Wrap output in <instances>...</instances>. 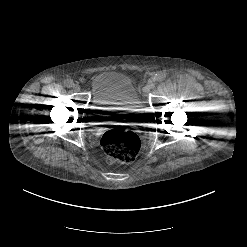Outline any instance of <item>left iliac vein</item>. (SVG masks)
Instances as JSON below:
<instances>
[{"label": "left iliac vein", "mask_w": 247, "mask_h": 247, "mask_svg": "<svg viewBox=\"0 0 247 247\" xmlns=\"http://www.w3.org/2000/svg\"><path fill=\"white\" fill-rule=\"evenodd\" d=\"M154 87H155V80L154 79H150L148 81V83L146 84V86H145V90L149 91V90L153 89Z\"/></svg>", "instance_id": "left-iliac-vein-1"}]
</instances>
